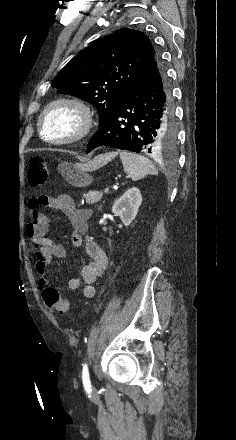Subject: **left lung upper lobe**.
I'll use <instances>...</instances> for the list:
<instances>
[{"label":"left lung upper lobe","instance_id":"obj_1","mask_svg":"<svg viewBox=\"0 0 236 440\" xmlns=\"http://www.w3.org/2000/svg\"><path fill=\"white\" fill-rule=\"evenodd\" d=\"M156 56L157 51L143 32L118 30L70 60L53 79L52 87L92 103L102 125Z\"/></svg>","mask_w":236,"mask_h":440}]
</instances>
